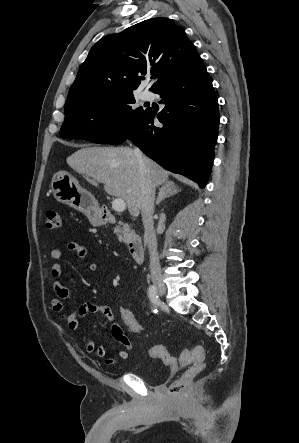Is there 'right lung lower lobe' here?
Instances as JSON below:
<instances>
[{
  "instance_id": "1",
  "label": "right lung lower lobe",
  "mask_w": 299,
  "mask_h": 443,
  "mask_svg": "<svg viewBox=\"0 0 299 443\" xmlns=\"http://www.w3.org/2000/svg\"><path fill=\"white\" fill-rule=\"evenodd\" d=\"M154 93L162 97L164 109L157 115L146 109L110 144L131 140L165 169L206 185L214 160L219 125L218 100L206 67L172 80Z\"/></svg>"
}]
</instances>
